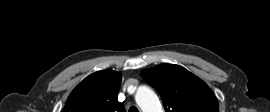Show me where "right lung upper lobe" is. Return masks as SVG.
I'll use <instances>...</instances> for the list:
<instances>
[{
	"label": "right lung upper lobe",
	"instance_id": "right-lung-upper-lobe-1",
	"mask_svg": "<svg viewBox=\"0 0 270 112\" xmlns=\"http://www.w3.org/2000/svg\"><path fill=\"white\" fill-rule=\"evenodd\" d=\"M121 78L112 70L89 75L72 91L63 112H125L117 98Z\"/></svg>",
	"mask_w": 270,
	"mask_h": 112
}]
</instances>
